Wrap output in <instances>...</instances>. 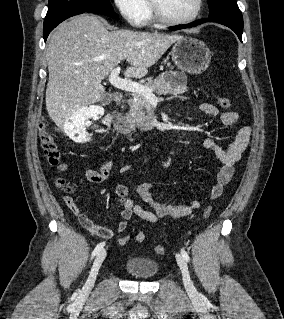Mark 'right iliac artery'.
<instances>
[{
  "mask_svg": "<svg viewBox=\"0 0 284 319\" xmlns=\"http://www.w3.org/2000/svg\"><path fill=\"white\" fill-rule=\"evenodd\" d=\"M104 245H105V242L99 243V244L95 247V249L93 250V252H92V257H94L96 254H98V253L103 249Z\"/></svg>",
  "mask_w": 284,
  "mask_h": 319,
  "instance_id": "82829eb1",
  "label": "right iliac artery"
}]
</instances>
